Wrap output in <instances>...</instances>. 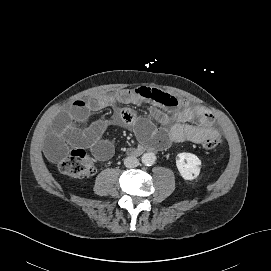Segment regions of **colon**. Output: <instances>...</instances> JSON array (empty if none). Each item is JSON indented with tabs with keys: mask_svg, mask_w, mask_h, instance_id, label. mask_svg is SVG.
I'll return each mask as SVG.
<instances>
[{
	"mask_svg": "<svg viewBox=\"0 0 271 271\" xmlns=\"http://www.w3.org/2000/svg\"><path fill=\"white\" fill-rule=\"evenodd\" d=\"M222 136L219 132H212L203 141L206 149H215L222 144ZM59 168L62 173L72 178L88 177L94 174L95 168L92 160L83 149H75L65 157Z\"/></svg>",
	"mask_w": 271,
	"mask_h": 271,
	"instance_id": "1",
	"label": "colon"
}]
</instances>
